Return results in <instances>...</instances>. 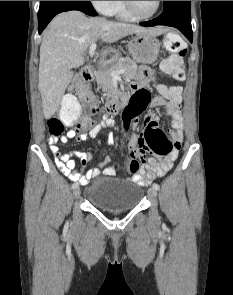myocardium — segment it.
Segmentation results:
<instances>
[{"instance_id":"1","label":"myocardium","mask_w":233,"mask_h":295,"mask_svg":"<svg viewBox=\"0 0 233 295\" xmlns=\"http://www.w3.org/2000/svg\"><path fill=\"white\" fill-rule=\"evenodd\" d=\"M123 3L125 5V8L128 11V13L131 16H133L135 19H140V20H147V19L154 17L159 12L160 7H161V1H157L155 10L151 14L143 16V15H140L136 12L132 1H123Z\"/></svg>"}]
</instances>
